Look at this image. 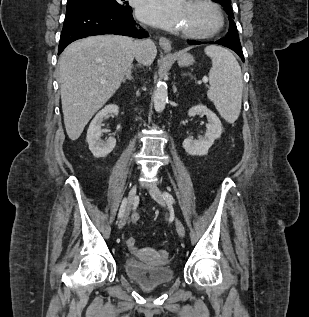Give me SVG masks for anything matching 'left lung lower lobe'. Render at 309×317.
<instances>
[{
	"mask_svg": "<svg viewBox=\"0 0 309 317\" xmlns=\"http://www.w3.org/2000/svg\"><path fill=\"white\" fill-rule=\"evenodd\" d=\"M187 43L190 45H197V44H202V43H215V44L223 45V46L228 47V48L232 49L233 51H235L240 56L242 61L244 62V56H243V52H242V48H241V43L233 41V40L228 39L226 37L221 38L215 42H199V41H194V40H187Z\"/></svg>",
	"mask_w": 309,
	"mask_h": 317,
	"instance_id": "left-lung-lower-lobe-1",
	"label": "left lung lower lobe"
}]
</instances>
